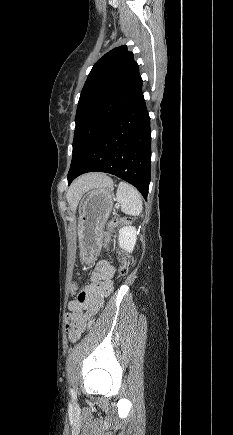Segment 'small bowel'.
I'll return each mask as SVG.
<instances>
[{
	"label": "small bowel",
	"mask_w": 233,
	"mask_h": 435,
	"mask_svg": "<svg viewBox=\"0 0 233 435\" xmlns=\"http://www.w3.org/2000/svg\"><path fill=\"white\" fill-rule=\"evenodd\" d=\"M115 268L107 261H100L90 274V284L83 287L77 297L69 303V313L66 321L72 336L83 333L89 325L92 316L97 314L104 298L112 292V277ZM79 289L78 283H73L70 290Z\"/></svg>",
	"instance_id": "obj_1"
}]
</instances>
